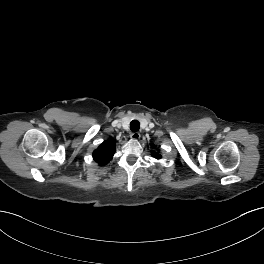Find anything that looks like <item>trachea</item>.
<instances>
[{
	"instance_id": "obj_1",
	"label": "trachea",
	"mask_w": 264,
	"mask_h": 264,
	"mask_svg": "<svg viewBox=\"0 0 264 264\" xmlns=\"http://www.w3.org/2000/svg\"><path fill=\"white\" fill-rule=\"evenodd\" d=\"M139 128H140V123L137 120L131 121V123H130L131 131L136 132L139 130Z\"/></svg>"
}]
</instances>
